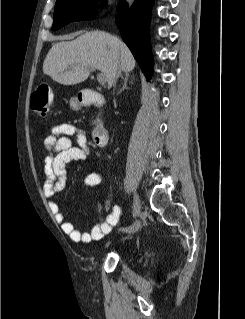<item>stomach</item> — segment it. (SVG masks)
<instances>
[{"label":"stomach","mask_w":245,"mask_h":319,"mask_svg":"<svg viewBox=\"0 0 245 319\" xmlns=\"http://www.w3.org/2000/svg\"><path fill=\"white\" fill-rule=\"evenodd\" d=\"M69 105L72 110H79L82 106V102L77 97H73L70 99Z\"/></svg>","instance_id":"stomach-1"}]
</instances>
